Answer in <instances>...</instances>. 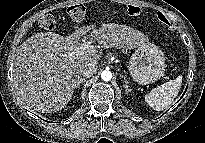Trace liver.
<instances>
[{
	"label": "liver",
	"mask_w": 205,
	"mask_h": 143,
	"mask_svg": "<svg viewBox=\"0 0 205 143\" xmlns=\"http://www.w3.org/2000/svg\"><path fill=\"white\" fill-rule=\"evenodd\" d=\"M88 32L104 48L134 49L149 43L148 37L126 25L102 24L78 28L69 36L37 33L20 46L12 58L13 87L22 105L42 113L57 112L71 100L82 68L98 61L102 52L82 50L79 40ZM70 54H73L70 56Z\"/></svg>",
	"instance_id": "1"
}]
</instances>
